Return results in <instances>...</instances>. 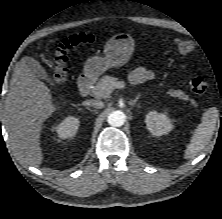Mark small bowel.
Segmentation results:
<instances>
[{
	"label": "small bowel",
	"mask_w": 222,
	"mask_h": 219,
	"mask_svg": "<svg viewBox=\"0 0 222 219\" xmlns=\"http://www.w3.org/2000/svg\"><path fill=\"white\" fill-rule=\"evenodd\" d=\"M154 77L155 74L152 71L144 67H138L131 72L129 79L133 84H140L152 80Z\"/></svg>",
	"instance_id": "obj_1"
}]
</instances>
